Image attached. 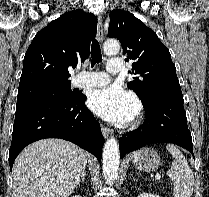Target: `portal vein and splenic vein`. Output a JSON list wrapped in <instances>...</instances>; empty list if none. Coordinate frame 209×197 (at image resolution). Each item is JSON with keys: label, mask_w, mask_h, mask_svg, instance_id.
Returning <instances> with one entry per match:
<instances>
[{"label": "portal vein and splenic vein", "mask_w": 209, "mask_h": 197, "mask_svg": "<svg viewBox=\"0 0 209 197\" xmlns=\"http://www.w3.org/2000/svg\"><path fill=\"white\" fill-rule=\"evenodd\" d=\"M155 178H156L157 180H160V179L162 178V176H161L160 174H156V175H155Z\"/></svg>", "instance_id": "18ae733b"}]
</instances>
